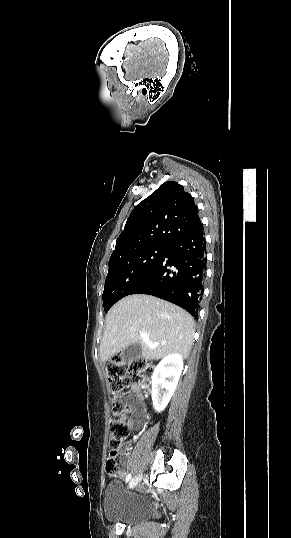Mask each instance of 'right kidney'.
Wrapping results in <instances>:
<instances>
[{"mask_svg":"<svg viewBox=\"0 0 291 538\" xmlns=\"http://www.w3.org/2000/svg\"><path fill=\"white\" fill-rule=\"evenodd\" d=\"M183 369V359L178 353L165 356L152 375V401L154 409L163 411L169 403ZM168 378V380H165Z\"/></svg>","mask_w":291,"mask_h":538,"instance_id":"1","label":"right kidney"}]
</instances>
